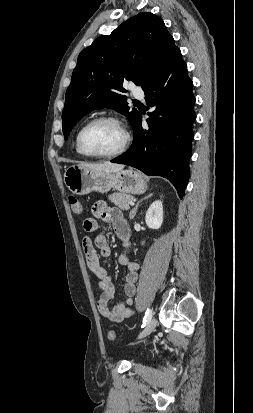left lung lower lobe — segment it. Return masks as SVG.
I'll return each mask as SVG.
<instances>
[{"instance_id": "1", "label": "left lung lower lobe", "mask_w": 253, "mask_h": 413, "mask_svg": "<svg viewBox=\"0 0 253 413\" xmlns=\"http://www.w3.org/2000/svg\"><path fill=\"white\" fill-rule=\"evenodd\" d=\"M192 80L180 49L171 55L163 71L144 90L149 113V130L142 129L141 114L130 149L111 160L135 167L146 175L167 178L183 197L189 179V159L193 140L195 97Z\"/></svg>"}]
</instances>
